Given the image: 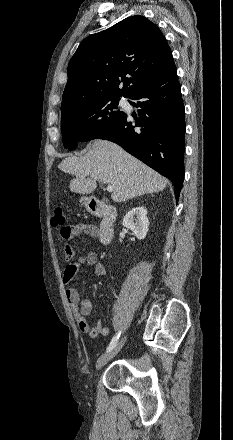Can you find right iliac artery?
Segmentation results:
<instances>
[{
    "mask_svg": "<svg viewBox=\"0 0 233 440\" xmlns=\"http://www.w3.org/2000/svg\"><path fill=\"white\" fill-rule=\"evenodd\" d=\"M120 335H121V332H118V333L112 338V341L110 342V344H109V346H108V348H107V352L110 351L111 349H113V348L115 347V345H116L117 342H118V339H119Z\"/></svg>",
    "mask_w": 233,
    "mask_h": 440,
    "instance_id": "obj_1",
    "label": "right iliac artery"
}]
</instances>
